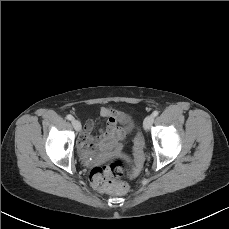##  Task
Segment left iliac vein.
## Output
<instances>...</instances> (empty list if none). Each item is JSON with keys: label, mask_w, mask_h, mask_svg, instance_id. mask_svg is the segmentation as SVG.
<instances>
[{"label": "left iliac vein", "mask_w": 229, "mask_h": 229, "mask_svg": "<svg viewBox=\"0 0 229 229\" xmlns=\"http://www.w3.org/2000/svg\"><path fill=\"white\" fill-rule=\"evenodd\" d=\"M153 121H154V116L153 115H148L145 118L144 123H143L144 129L148 130L151 127Z\"/></svg>", "instance_id": "1"}]
</instances>
